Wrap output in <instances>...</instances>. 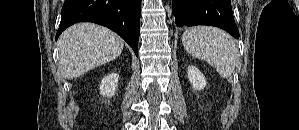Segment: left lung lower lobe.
I'll list each match as a JSON object with an SVG mask.
<instances>
[{
    "instance_id": "left-lung-lower-lobe-1",
    "label": "left lung lower lobe",
    "mask_w": 299,
    "mask_h": 130,
    "mask_svg": "<svg viewBox=\"0 0 299 130\" xmlns=\"http://www.w3.org/2000/svg\"><path fill=\"white\" fill-rule=\"evenodd\" d=\"M172 9L177 28L211 25L239 38L230 0H172Z\"/></svg>"
}]
</instances>
